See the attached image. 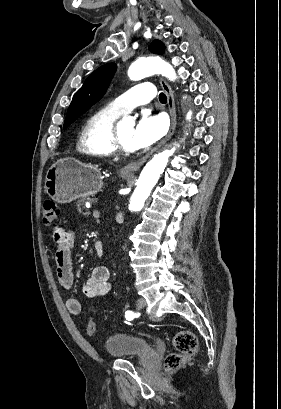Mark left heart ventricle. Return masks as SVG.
Here are the masks:
<instances>
[{
  "label": "left heart ventricle",
  "mask_w": 281,
  "mask_h": 409,
  "mask_svg": "<svg viewBox=\"0 0 281 409\" xmlns=\"http://www.w3.org/2000/svg\"><path fill=\"white\" fill-rule=\"evenodd\" d=\"M134 127L129 124H119V137L121 145L125 149H135L132 143Z\"/></svg>",
  "instance_id": "left-heart-ventricle-1"
}]
</instances>
